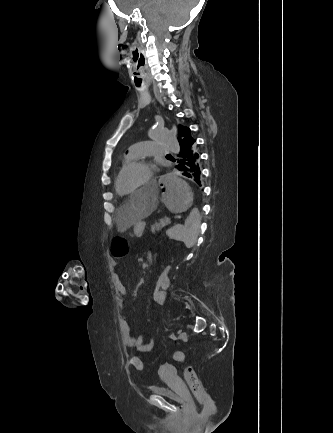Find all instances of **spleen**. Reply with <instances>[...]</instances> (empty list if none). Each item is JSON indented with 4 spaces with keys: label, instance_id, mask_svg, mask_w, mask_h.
<instances>
[{
    "label": "spleen",
    "instance_id": "3e777b00",
    "mask_svg": "<svg viewBox=\"0 0 333 433\" xmlns=\"http://www.w3.org/2000/svg\"><path fill=\"white\" fill-rule=\"evenodd\" d=\"M190 212L191 213L185 220L184 225L175 224L170 230L167 231V234L171 239L184 242L187 248H191L196 244L200 231L199 227L201 213L199 208L193 206L190 209Z\"/></svg>",
    "mask_w": 333,
    "mask_h": 433
}]
</instances>
